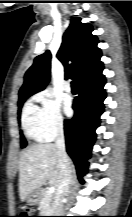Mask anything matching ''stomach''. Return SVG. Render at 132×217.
Returning <instances> with one entry per match:
<instances>
[{"mask_svg":"<svg viewBox=\"0 0 132 217\" xmlns=\"http://www.w3.org/2000/svg\"><path fill=\"white\" fill-rule=\"evenodd\" d=\"M41 198H42V191L40 189H37V190L31 192L27 196L26 200H27V203L29 205L33 206V205L38 204L40 202Z\"/></svg>","mask_w":132,"mask_h":217,"instance_id":"1","label":"stomach"}]
</instances>
